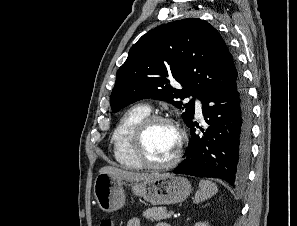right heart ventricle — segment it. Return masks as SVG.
<instances>
[{"label": "right heart ventricle", "mask_w": 297, "mask_h": 226, "mask_svg": "<svg viewBox=\"0 0 297 226\" xmlns=\"http://www.w3.org/2000/svg\"><path fill=\"white\" fill-rule=\"evenodd\" d=\"M150 114L148 106L137 104L127 109L120 118L112 134L115 160L128 169H141L142 165L133 156L130 140L136 125Z\"/></svg>", "instance_id": "1"}]
</instances>
